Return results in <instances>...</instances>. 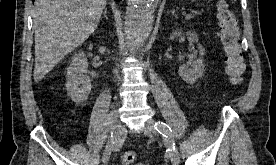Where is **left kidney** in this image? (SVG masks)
<instances>
[{
	"mask_svg": "<svg viewBox=\"0 0 276 165\" xmlns=\"http://www.w3.org/2000/svg\"><path fill=\"white\" fill-rule=\"evenodd\" d=\"M181 35L182 33L179 31L172 32L170 35V39L174 40ZM186 36L189 42L198 43L199 41V38L196 32L188 31L186 32ZM197 48L200 54V58L181 65L178 70L181 78L189 84H194L198 79H200L203 76L205 72V69H204L205 65H204V59H203V56L205 54V49L202 47L201 44H198Z\"/></svg>",
	"mask_w": 276,
	"mask_h": 165,
	"instance_id": "left-kidney-1",
	"label": "left kidney"
}]
</instances>
